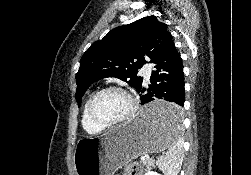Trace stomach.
<instances>
[{
  "mask_svg": "<svg viewBox=\"0 0 251 175\" xmlns=\"http://www.w3.org/2000/svg\"><path fill=\"white\" fill-rule=\"evenodd\" d=\"M171 100H149L147 107H141L138 115L125 125H118L104 135H85L78 139L73 165L76 175H114L115 171L135 159L137 155L156 154L171 147V141L182 134L178 106Z\"/></svg>",
  "mask_w": 251,
  "mask_h": 175,
  "instance_id": "1",
  "label": "stomach"
}]
</instances>
